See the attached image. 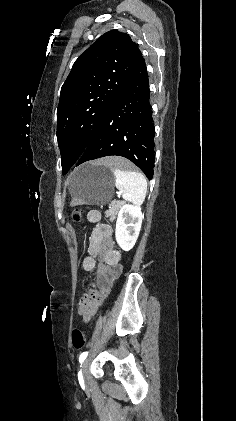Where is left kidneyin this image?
<instances>
[{
	"label": "left kidney",
	"instance_id": "5707ae66",
	"mask_svg": "<svg viewBox=\"0 0 236 421\" xmlns=\"http://www.w3.org/2000/svg\"><path fill=\"white\" fill-rule=\"evenodd\" d=\"M142 219L140 206H133V204L121 206L116 223L115 237L123 251L133 249L140 233Z\"/></svg>",
	"mask_w": 236,
	"mask_h": 421
}]
</instances>
